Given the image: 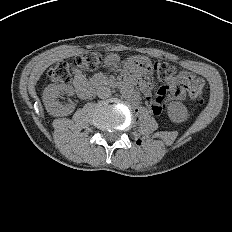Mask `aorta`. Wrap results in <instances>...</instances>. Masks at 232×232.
<instances>
[{
    "mask_svg": "<svg viewBox=\"0 0 232 232\" xmlns=\"http://www.w3.org/2000/svg\"><path fill=\"white\" fill-rule=\"evenodd\" d=\"M120 93L124 97H131L135 93V88L133 85L125 84L120 88Z\"/></svg>",
    "mask_w": 232,
    "mask_h": 232,
    "instance_id": "obj_1",
    "label": "aorta"
}]
</instances>
